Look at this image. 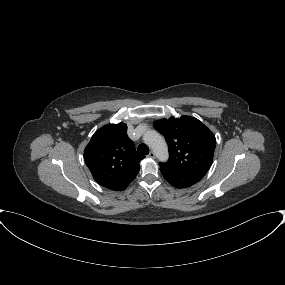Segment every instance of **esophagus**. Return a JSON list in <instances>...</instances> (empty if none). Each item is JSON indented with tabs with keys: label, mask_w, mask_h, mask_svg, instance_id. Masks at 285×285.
Listing matches in <instances>:
<instances>
[{
	"label": "esophagus",
	"mask_w": 285,
	"mask_h": 285,
	"mask_svg": "<svg viewBox=\"0 0 285 285\" xmlns=\"http://www.w3.org/2000/svg\"><path fill=\"white\" fill-rule=\"evenodd\" d=\"M148 157H150V158H155V153H154L153 151H151V152L149 153Z\"/></svg>",
	"instance_id": "obj_1"
}]
</instances>
